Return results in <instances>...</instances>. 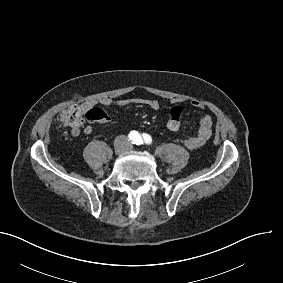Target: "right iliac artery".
Instances as JSON below:
<instances>
[{
    "label": "right iliac artery",
    "mask_w": 283,
    "mask_h": 283,
    "mask_svg": "<svg viewBox=\"0 0 283 283\" xmlns=\"http://www.w3.org/2000/svg\"><path fill=\"white\" fill-rule=\"evenodd\" d=\"M138 136H139V133L137 131H131L129 133L130 140H132L134 142L137 140Z\"/></svg>",
    "instance_id": "obj_1"
}]
</instances>
